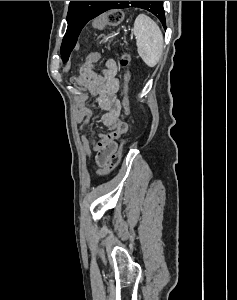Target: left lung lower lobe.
I'll list each match as a JSON object with an SVG mask.
<instances>
[{
  "label": "left lung lower lobe",
  "instance_id": "1",
  "mask_svg": "<svg viewBox=\"0 0 237 300\" xmlns=\"http://www.w3.org/2000/svg\"><path fill=\"white\" fill-rule=\"evenodd\" d=\"M119 6H120V1H110L104 8L103 13L110 9H119L120 8ZM160 12H164L161 1H160Z\"/></svg>",
  "mask_w": 237,
  "mask_h": 300
}]
</instances>
